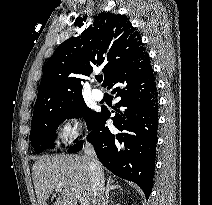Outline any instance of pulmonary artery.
I'll return each mask as SVG.
<instances>
[{"mask_svg": "<svg viewBox=\"0 0 212 205\" xmlns=\"http://www.w3.org/2000/svg\"><path fill=\"white\" fill-rule=\"evenodd\" d=\"M92 96L95 100L100 101L103 99L104 94L100 89H93Z\"/></svg>", "mask_w": 212, "mask_h": 205, "instance_id": "1", "label": "pulmonary artery"}]
</instances>
